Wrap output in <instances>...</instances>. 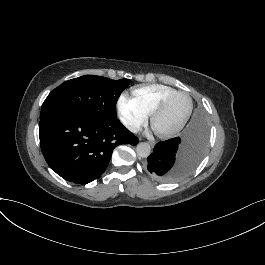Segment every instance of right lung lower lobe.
<instances>
[{"label": "right lung lower lobe", "mask_w": 265, "mask_h": 265, "mask_svg": "<svg viewBox=\"0 0 265 265\" xmlns=\"http://www.w3.org/2000/svg\"><path fill=\"white\" fill-rule=\"evenodd\" d=\"M39 138L50 168L76 184L98 178L116 146L139 142L118 119L102 120L77 112H60L40 120Z\"/></svg>", "instance_id": "1"}]
</instances>
